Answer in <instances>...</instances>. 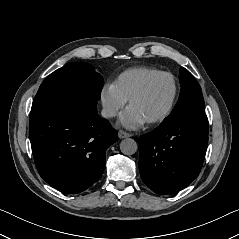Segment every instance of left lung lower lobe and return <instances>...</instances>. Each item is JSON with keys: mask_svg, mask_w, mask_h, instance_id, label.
<instances>
[{"mask_svg": "<svg viewBox=\"0 0 239 239\" xmlns=\"http://www.w3.org/2000/svg\"><path fill=\"white\" fill-rule=\"evenodd\" d=\"M208 144L205 112H189L140 138L139 170L157 194L186 188L201 170Z\"/></svg>", "mask_w": 239, "mask_h": 239, "instance_id": "obj_1", "label": "left lung lower lobe"}]
</instances>
